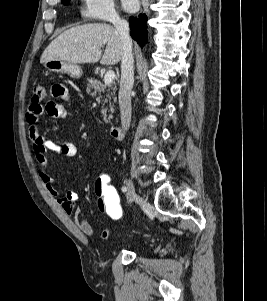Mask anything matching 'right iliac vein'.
I'll list each match as a JSON object with an SVG mask.
<instances>
[{"instance_id": "1", "label": "right iliac vein", "mask_w": 267, "mask_h": 301, "mask_svg": "<svg viewBox=\"0 0 267 301\" xmlns=\"http://www.w3.org/2000/svg\"><path fill=\"white\" fill-rule=\"evenodd\" d=\"M126 196H127L128 201H136L139 203L146 204V202L144 200L140 199L138 197V195L136 194L133 182L131 180H128V182H127Z\"/></svg>"}]
</instances>
